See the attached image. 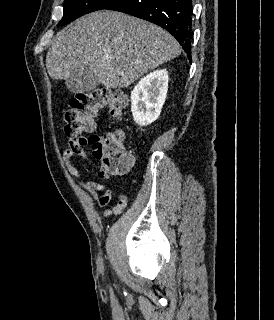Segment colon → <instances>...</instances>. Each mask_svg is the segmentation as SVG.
<instances>
[{
    "label": "colon",
    "instance_id": "5ec220e1",
    "mask_svg": "<svg viewBox=\"0 0 274 320\" xmlns=\"http://www.w3.org/2000/svg\"><path fill=\"white\" fill-rule=\"evenodd\" d=\"M68 105L69 108L63 116L65 135L89 134V141L102 158L101 166L104 171L114 174L130 170L133 165V156L124 152L123 133L105 131L97 135L88 127V120H95L97 114L103 109H107L113 118H119L122 115V109L126 106L125 97L116 92L97 88L77 93L69 100Z\"/></svg>",
    "mask_w": 274,
    "mask_h": 320
}]
</instances>
